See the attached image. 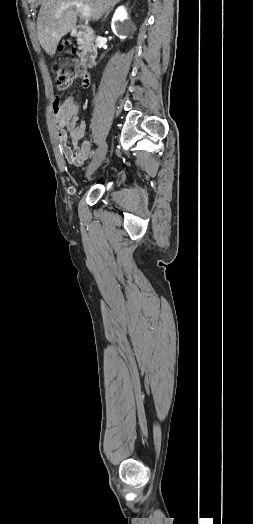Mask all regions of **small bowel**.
I'll list each match as a JSON object with an SVG mask.
<instances>
[{
    "instance_id": "c3829d8e",
    "label": "small bowel",
    "mask_w": 253,
    "mask_h": 524,
    "mask_svg": "<svg viewBox=\"0 0 253 524\" xmlns=\"http://www.w3.org/2000/svg\"><path fill=\"white\" fill-rule=\"evenodd\" d=\"M79 115V106L73 97H67L54 106V121L60 149L64 159L73 166H81L88 160L91 148L88 141H82L86 133V124L80 120ZM68 137L73 147L67 145Z\"/></svg>"
}]
</instances>
